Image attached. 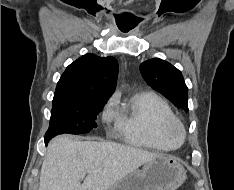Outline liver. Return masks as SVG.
<instances>
[{"instance_id": "liver-1", "label": "liver", "mask_w": 234, "mask_h": 190, "mask_svg": "<svg viewBox=\"0 0 234 190\" xmlns=\"http://www.w3.org/2000/svg\"><path fill=\"white\" fill-rule=\"evenodd\" d=\"M157 157H160L157 153L119 143L73 141L59 136L48 146L39 190H108Z\"/></svg>"}]
</instances>
